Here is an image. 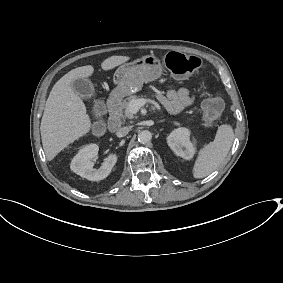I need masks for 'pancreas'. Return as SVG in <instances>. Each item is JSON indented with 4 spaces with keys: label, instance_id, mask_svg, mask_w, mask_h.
<instances>
[{
    "label": "pancreas",
    "instance_id": "cf45deb5",
    "mask_svg": "<svg viewBox=\"0 0 283 283\" xmlns=\"http://www.w3.org/2000/svg\"><path fill=\"white\" fill-rule=\"evenodd\" d=\"M138 96L136 95H131L128 98L124 99L123 101H121V103L118 106V110H116L115 106H109V113L113 114V113H118V116L121 118H129L132 119L134 116L133 114L129 111V104L131 101L133 100H137Z\"/></svg>",
    "mask_w": 283,
    "mask_h": 283
}]
</instances>
